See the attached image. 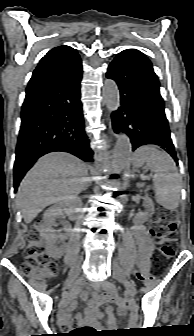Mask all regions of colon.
Segmentation results:
<instances>
[{"instance_id":"colon-1","label":"colon","mask_w":194,"mask_h":336,"mask_svg":"<svg viewBox=\"0 0 194 336\" xmlns=\"http://www.w3.org/2000/svg\"><path fill=\"white\" fill-rule=\"evenodd\" d=\"M176 229L177 225L172 213L168 210H160L156 223L151 229L152 235L158 244L157 253L153 258L155 263L175 255ZM21 270L25 275L40 281L55 277L59 273L58 263L49 260L45 254L42 240L35 228L28 233V244L21 264ZM151 280L148 276L144 277L145 282H150ZM118 305L124 309L129 304L123 300H118Z\"/></svg>"}]
</instances>
